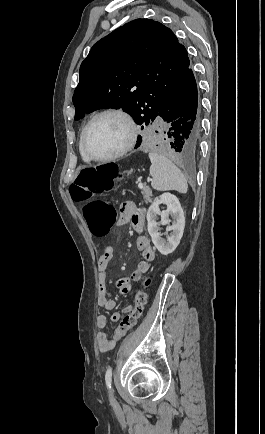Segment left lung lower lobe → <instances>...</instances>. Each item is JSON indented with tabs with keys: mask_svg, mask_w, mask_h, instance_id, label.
<instances>
[{
	"mask_svg": "<svg viewBox=\"0 0 265 434\" xmlns=\"http://www.w3.org/2000/svg\"><path fill=\"white\" fill-rule=\"evenodd\" d=\"M156 118H162L169 124L168 148L183 155L196 153L201 134V120L197 84L190 65L162 102ZM141 142L142 137L138 136L135 148H138Z\"/></svg>",
	"mask_w": 265,
	"mask_h": 434,
	"instance_id": "left-lung-lower-lobe-1",
	"label": "left lung lower lobe"
}]
</instances>
